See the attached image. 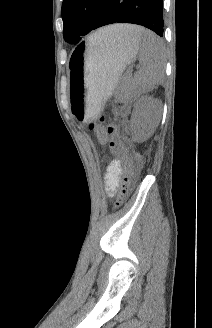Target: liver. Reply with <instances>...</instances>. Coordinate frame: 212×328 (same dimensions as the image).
<instances>
[{
  "label": "liver",
  "mask_w": 212,
  "mask_h": 328,
  "mask_svg": "<svg viewBox=\"0 0 212 328\" xmlns=\"http://www.w3.org/2000/svg\"><path fill=\"white\" fill-rule=\"evenodd\" d=\"M136 26L116 24L98 30L94 34L98 37L99 43L107 42H127L134 38Z\"/></svg>",
  "instance_id": "obj_1"
}]
</instances>
